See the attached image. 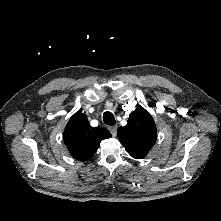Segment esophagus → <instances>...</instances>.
Masks as SVG:
<instances>
[{
  "instance_id": "obj_1",
  "label": "esophagus",
  "mask_w": 221,
  "mask_h": 221,
  "mask_svg": "<svg viewBox=\"0 0 221 221\" xmlns=\"http://www.w3.org/2000/svg\"><path fill=\"white\" fill-rule=\"evenodd\" d=\"M109 131L111 132V134H112L113 136H116L117 126H110V127H109Z\"/></svg>"
}]
</instances>
